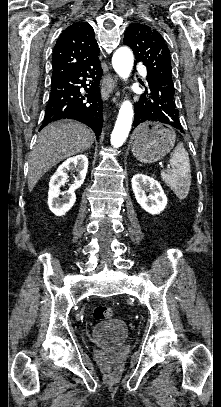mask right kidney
Masks as SVG:
<instances>
[{"label": "right kidney", "instance_id": "obj_1", "mask_svg": "<svg viewBox=\"0 0 221 407\" xmlns=\"http://www.w3.org/2000/svg\"><path fill=\"white\" fill-rule=\"evenodd\" d=\"M87 169L88 158L86 155H76L63 162L51 177L48 191V206L56 216L65 215L74 205L76 201L74 191L83 184ZM70 170L77 171L78 176L75 177V181L70 185L69 190L66 191L64 195V193L60 191V188L67 182L68 172ZM60 195H63V197L59 198Z\"/></svg>", "mask_w": 221, "mask_h": 407}]
</instances>
